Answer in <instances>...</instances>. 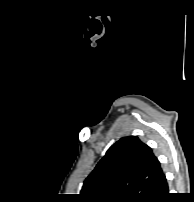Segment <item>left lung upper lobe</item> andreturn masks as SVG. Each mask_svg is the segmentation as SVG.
<instances>
[{
    "label": "left lung upper lobe",
    "instance_id": "5c2ea615",
    "mask_svg": "<svg viewBox=\"0 0 194 202\" xmlns=\"http://www.w3.org/2000/svg\"><path fill=\"white\" fill-rule=\"evenodd\" d=\"M164 176L151 148L136 136L110 147L86 178L84 202H152Z\"/></svg>",
    "mask_w": 194,
    "mask_h": 202
}]
</instances>
